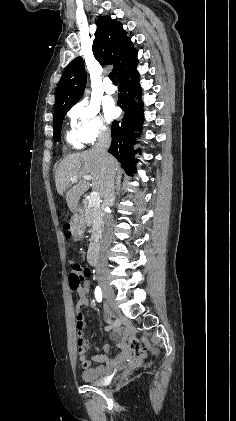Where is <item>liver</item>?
Returning <instances> with one entry per match:
<instances>
[{
	"mask_svg": "<svg viewBox=\"0 0 236 421\" xmlns=\"http://www.w3.org/2000/svg\"><path fill=\"white\" fill-rule=\"evenodd\" d=\"M119 168L114 156L107 154L102 156L95 148L85 150V152H75V154H67L61 160L55 172V184L57 192L63 194L67 186L73 184L70 180L71 176H77L73 186H70L66 192L65 200L69 206L71 213H78V202L80 196L92 186L93 190L99 192V196H104L105 190L115 172ZM84 174H91L92 180L82 178Z\"/></svg>",
	"mask_w": 236,
	"mask_h": 421,
	"instance_id": "obj_1",
	"label": "liver"
}]
</instances>
